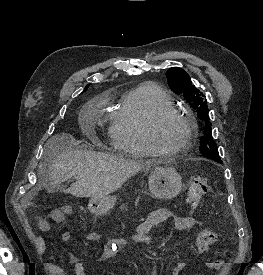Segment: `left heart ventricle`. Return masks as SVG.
I'll list each match as a JSON object with an SVG mask.
<instances>
[{
  "instance_id": "1",
  "label": "left heart ventricle",
  "mask_w": 263,
  "mask_h": 275,
  "mask_svg": "<svg viewBox=\"0 0 263 275\" xmlns=\"http://www.w3.org/2000/svg\"><path fill=\"white\" fill-rule=\"evenodd\" d=\"M187 134V126L182 120L169 118L158 127L156 139L163 148L174 149L185 142Z\"/></svg>"
}]
</instances>
